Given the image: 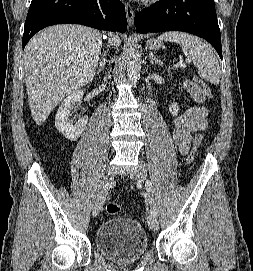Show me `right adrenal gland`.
Segmentation results:
<instances>
[{
    "label": "right adrenal gland",
    "mask_w": 253,
    "mask_h": 271,
    "mask_svg": "<svg viewBox=\"0 0 253 271\" xmlns=\"http://www.w3.org/2000/svg\"><path fill=\"white\" fill-rule=\"evenodd\" d=\"M106 57L105 54L102 55V61L100 60L99 62V67H98V73H100L106 66Z\"/></svg>",
    "instance_id": "2a0ac1e0"
}]
</instances>
